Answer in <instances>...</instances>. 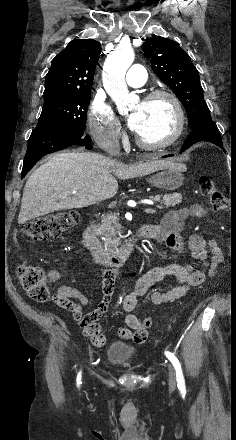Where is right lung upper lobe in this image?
<instances>
[{"label":"right lung upper lobe","mask_w":236,"mask_h":440,"mask_svg":"<svg viewBox=\"0 0 236 440\" xmlns=\"http://www.w3.org/2000/svg\"><path fill=\"white\" fill-rule=\"evenodd\" d=\"M101 45L93 39L72 40L52 61L45 78L44 103L91 93Z\"/></svg>","instance_id":"obj_1"}]
</instances>
